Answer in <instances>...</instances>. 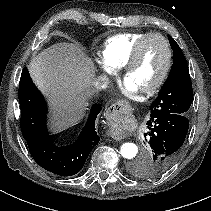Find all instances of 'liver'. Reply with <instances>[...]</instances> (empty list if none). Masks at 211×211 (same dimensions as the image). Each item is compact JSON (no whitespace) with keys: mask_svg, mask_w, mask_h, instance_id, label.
I'll use <instances>...</instances> for the list:
<instances>
[{"mask_svg":"<svg viewBox=\"0 0 211 211\" xmlns=\"http://www.w3.org/2000/svg\"><path fill=\"white\" fill-rule=\"evenodd\" d=\"M37 87L48 97L52 129L61 131L76 124L94 90V68L77 44L57 43L40 52L29 64Z\"/></svg>","mask_w":211,"mask_h":211,"instance_id":"liver-1","label":"liver"}]
</instances>
